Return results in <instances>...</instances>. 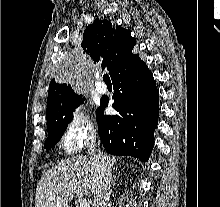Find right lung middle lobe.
<instances>
[{
  "label": "right lung middle lobe",
  "instance_id": "dd1d6c3e",
  "mask_svg": "<svg viewBox=\"0 0 220 207\" xmlns=\"http://www.w3.org/2000/svg\"><path fill=\"white\" fill-rule=\"evenodd\" d=\"M85 100L82 95H74L67 99L53 114L47 116L48 137L44 148L51 149L64 134L68 123L73 118V111Z\"/></svg>",
  "mask_w": 220,
  "mask_h": 207
}]
</instances>
